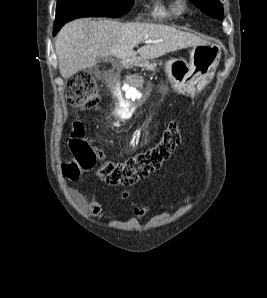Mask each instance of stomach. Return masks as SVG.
<instances>
[{
    "label": "stomach",
    "mask_w": 267,
    "mask_h": 298,
    "mask_svg": "<svg viewBox=\"0 0 267 298\" xmlns=\"http://www.w3.org/2000/svg\"><path fill=\"white\" fill-rule=\"evenodd\" d=\"M221 57V46L216 41H208L193 46L189 62L171 59L166 63V72L176 93L193 96L200 92L213 78ZM135 65L146 67L147 61L134 59Z\"/></svg>",
    "instance_id": "obj_1"
}]
</instances>
